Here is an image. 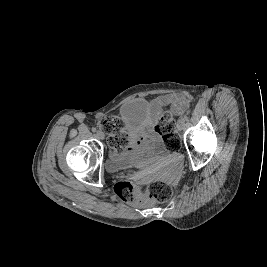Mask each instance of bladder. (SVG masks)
Here are the masks:
<instances>
[{
  "instance_id": "obj_1",
  "label": "bladder",
  "mask_w": 267,
  "mask_h": 267,
  "mask_svg": "<svg viewBox=\"0 0 267 267\" xmlns=\"http://www.w3.org/2000/svg\"><path fill=\"white\" fill-rule=\"evenodd\" d=\"M162 154L159 143L131 140L124 149L106 158V168L111 172L134 168L157 160Z\"/></svg>"
}]
</instances>
